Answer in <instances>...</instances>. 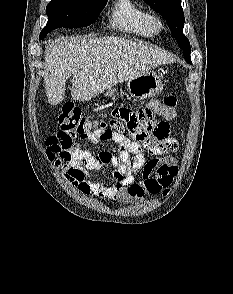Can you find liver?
Returning a JSON list of instances; mask_svg holds the SVG:
<instances>
[{"mask_svg":"<svg viewBox=\"0 0 233 294\" xmlns=\"http://www.w3.org/2000/svg\"><path fill=\"white\" fill-rule=\"evenodd\" d=\"M172 61L161 50L120 37L63 38L45 51L46 96L51 105L61 103L72 75V98L88 101L117 83Z\"/></svg>","mask_w":233,"mask_h":294,"instance_id":"1","label":"liver"}]
</instances>
